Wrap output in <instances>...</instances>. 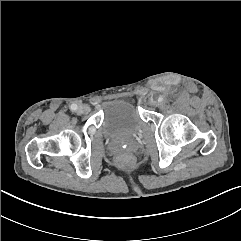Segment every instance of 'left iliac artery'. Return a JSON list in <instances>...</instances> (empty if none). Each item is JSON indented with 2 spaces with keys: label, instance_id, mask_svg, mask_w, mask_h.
I'll list each match as a JSON object with an SVG mask.
<instances>
[{
  "label": "left iliac artery",
  "instance_id": "left-iliac-artery-1",
  "mask_svg": "<svg viewBox=\"0 0 241 241\" xmlns=\"http://www.w3.org/2000/svg\"><path fill=\"white\" fill-rule=\"evenodd\" d=\"M158 101H159V102H162V101H163V97H159V98H158Z\"/></svg>",
  "mask_w": 241,
  "mask_h": 241
}]
</instances>
